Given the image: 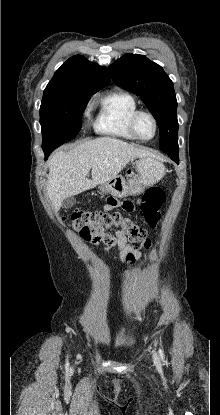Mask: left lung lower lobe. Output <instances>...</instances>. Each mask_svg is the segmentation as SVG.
<instances>
[{
    "label": "left lung lower lobe",
    "instance_id": "left-lung-lower-lobe-1",
    "mask_svg": "<svg viewBox=\"0 0 220 415\" xmlns=\"http://www.w3.org/2000/svg\"><path fill=\"white\" fill-rule=\"evenodd\" d=\"M164 153H166L174 162L179 164L178 152H164Z\"/></svg>",
    "mask_w": 220,
    "mask_h": 415
}]
</instances>
